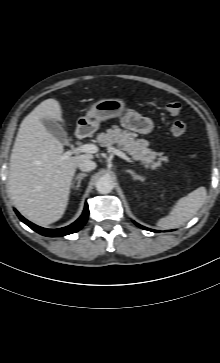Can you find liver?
Segmentation results:
<instances>
[{
    "label": "liver",
    "instance_id": "6515ba94",
    "mask_svg": "<svg viewBox=\"0 0 220 363\" xmlns=\"http://www.w3.org/2000/svg\"><path fill=\"white\" fill-rule=\"evenodd\" d=\"M62 113L57 100L41 102L21 122L10 156L11 199L23 215L42 225L63 216L78 163L93 158L82 154L62 159V143L42 123L44 118L64 123Z\"/></svg>",
    "mask_w": 220,
    "mask_h": 363
}]
</instances>
